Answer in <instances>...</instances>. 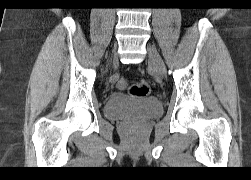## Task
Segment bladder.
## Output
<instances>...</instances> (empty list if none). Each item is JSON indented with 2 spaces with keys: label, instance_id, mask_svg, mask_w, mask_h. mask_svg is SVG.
Returning <instances> with one entry per match:
<instances>
[{
  "label": "bladder",
  "instance_id": "bladder-1",
  "mask_svg": "<svg viewBox=\"0 0 251 180\" xmlns=\"http://www.w3.org/2000/svg\"><path fill=\"white\" fill-rule=\"evenodd\" d=\"M162 112V103L155 97H130L115 93L104 106V114L114 120H142L157 117Z\"/></svg>",
  "mask_w": 251,
  "mask_h": 180
}]
</instances>
